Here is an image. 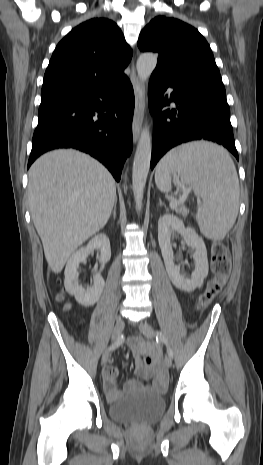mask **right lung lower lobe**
Segmentation results:
<instances>
[{
	"label": "right lung lower lobe",
	"mask_w": 263,
	"mask_h": 465,
	"mask_svg": "<svg viewBox=\"0 0 263 465\" xmlns=\"http://www.w3.org/2000/svg\"><path fill=\"white\" fill-rule=\"evenodd\" d=\"M134 92L125 75L117 83L42 100L28 168L41 154L75 148L102 162L116 181L132 151Z\"/></svg>",
	"instance_id": "98d812e1"
}]
</instances>
